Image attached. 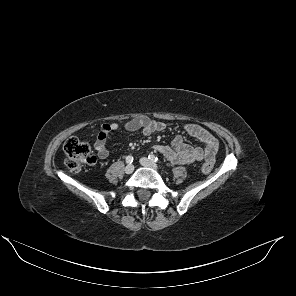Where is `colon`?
<instances>
[{
    "mask_svg": "<svg viewBox=\"0 0 296 296\" xmlns=\"http://www.w3.org/2000/svg\"><path fill=\"white\" fill-rule=\"evenodd\" d=\"M65 163L72 171L81 170L86 164L95 161L92 149L89 143L80 140L77 137L67 139L64 144ZM214 161L206 160L202 166L204 173H209L213 169Z\"/></svg>",
    "mask_w": 296,
    "mask_h": 296,
    "instance_id": "obj_1",
    "label": "colon"
}]
</instances>
